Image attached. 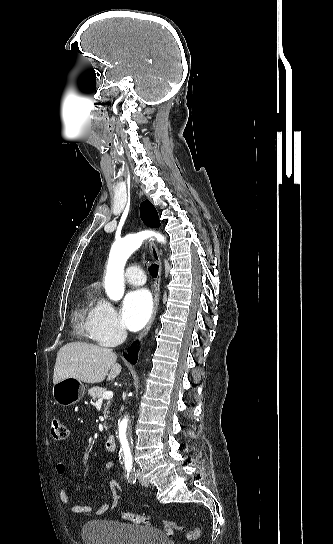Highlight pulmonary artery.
I'll use <instances>...</instances> for the list:
<instances>
[{"label": "pulmonary artery", "mask_w": 333, "mask_h": 544, "mask_svg": "<svg viewBox=\"0 0 333 544\" xmlns=\"http://www.w3.org/2000/svg\"><path fill=\"white\" fill-rule=\"evenodd\" d=\"M125 279L129 284L136 286L143 285L146 281L143 270L137 265H132L127 268Z\"/></svg>", "instance_id": "1"}]
</instances>
